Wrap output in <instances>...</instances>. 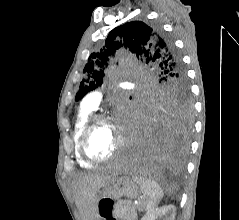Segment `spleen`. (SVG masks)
<instances>
[{"mask_svg": "<svg viewBox=\"0 0 239 220\" xmlns=\"http://www.w3.org/2000/svg\"><path fill=\"white\" fill-rule=\"evenodd\" d=\"M132 180L140 186L143 194V197L137 204L138 210L148 211L155 208L164 195L162 188L154 180L147 177L133 175Z\"/></svg>", "mask_w": 239, "mask_h": 220, "instance_id": "3e777b00", "label": "spleen"}]
</instances>
